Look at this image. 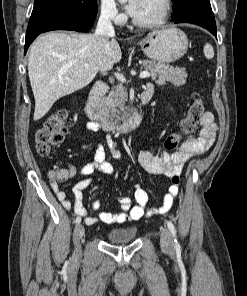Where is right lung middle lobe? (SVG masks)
<instances>
[{"instance_id": "1", "label": "right lung middle lobe", "mask_w": 247, "mask_h": 296, "mask_svg": "<svg viewBox=\"0 0 247 296\" xmlns=\"http://www.w3.org/2000/svg\"><path fill=\"white\" fill-rule=\"evenodd\" d=\"M65 1L71 4L75 12L82 13L97 11L96 0H35L32 14Z\"/></svg>"}]
</instances>
